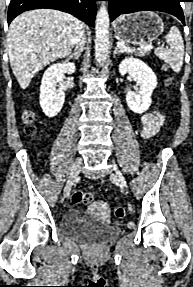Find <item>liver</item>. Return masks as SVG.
<instances>
[{"label": "liver", "mask_w": 193, "mask_h": 287, "mask_svg": "<svg viewBox=\"0 0 193 287\" xmlns=\"http://www.w3.org/2000/svg\"><path fill=\"white\" fill-rule=\"evenodd\" d=\"M78 28L79 21L74 16L53 9L27 11L12 21L7 51L22 89L40 69L70 54Z\"/></svg>", "instance_id": "1"}]
</instances>
